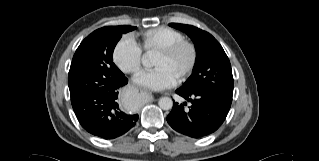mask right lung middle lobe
Listing matches in <instances>:
<instances>
[{
  "label": "right lung middle lobe",
  "mask_w": 319,
  "mask_h": 161,
  "mask_svg": "<svg viewBox=\"0 0 319 161\" xmlns=\"http://www.w3.org/2000/svg\"><path fill=\"white\" fill-rule=\"evenodd\" d=\"M136 29L133 26H108L86 37L74 54L69 70L68 85L71 101L102 86H111L123 73L113 63V51L122 37Z\"/></svg>",
  "instance_id": "dd1d6c3e"
}]
</instances>
